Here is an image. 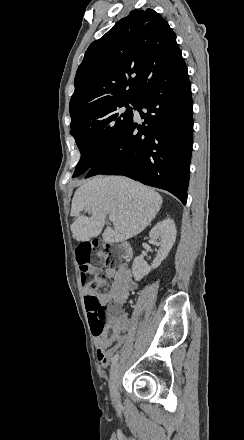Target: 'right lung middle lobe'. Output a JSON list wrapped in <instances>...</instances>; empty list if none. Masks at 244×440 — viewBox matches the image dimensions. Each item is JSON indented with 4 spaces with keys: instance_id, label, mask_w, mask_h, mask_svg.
<instances>
[{
    "instance_id": "obj_1",
    "label": "right lung middle lobe",
    "mask_w": 244,
    "mask_h": 440,
    "mask_svg": "<svg viewBox=\"0 0 244 440\" xmlns=\"http://www.w3.org/2000/svg\"><path fill=\"white\" fill-rule=\"evenodd\" d=\"M129 104L136 109L137 99L109 98L70 110V133L81 152L73 177L87 172L130 124Z\"/></svg>"
}]
</instances>
